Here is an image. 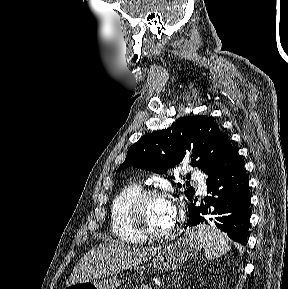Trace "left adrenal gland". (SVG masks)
I'll list each match as a JSON object with an SVG mask.
<instances>
[{
    "instance_id": "a2214340",
    "label": "left adrenal gland",
    "mask_w": 288,
    "mask_h": 289,
    "mask_svg": "<svg viewBox=\"0 0 288 289\" xmlns=\"http://www.w3.org/2000/svg\"><path fill=\"white\" fill-rule=\"evenodd\" d=\"M181 278V274L180 275H176V277L174 278L173 282L178 281ZM172 282V284H173ZM170 286V284L167 286V288Z\"/></svg>"
}]
</instances>
